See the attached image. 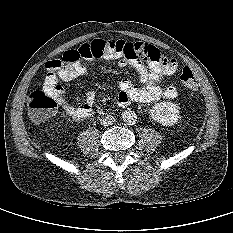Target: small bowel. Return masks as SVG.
I'll return each instance as SVG.
<instances>
[{"mask_svg": "<svg viewBox=\"0 0 233 233\" xmlns=\"http://www.w3.org/2000/svg\"><path fill=\"white\" fill-rule=\"evenodd\" d=\"M103 57L119 60L121 67H132L141 83L137 85L129 79L119 81L118 102L121 106H127L131 102L152 103L160 99L173 100L178 96V91L174 86L162 84L163 76L173 74L178 68V63L175 58L164 56L155 46L124 40L110 42L105 47ZM45 68L47 75L43 85L44 90L56 96L58 105L67 115L76 120L88 118L95 101L94 92H87L84 103L79 107H74L65 100L64 90L59 81L69 82L87 73L91 76H98L103 71L101 61L91 59L86 67L77 63L63 70L49 67L48 61Z\"/></svg>", "mask_w": 233, "mask_h": 233, "instance_id": "c3829d8e", "label": "small bowel"}]
</instances>
